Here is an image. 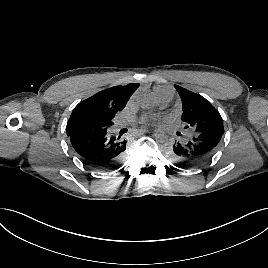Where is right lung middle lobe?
Returning <instances> with one entry per match:
<instances>
[{
	"label": "right lung middle lobe",
	"instance_id": "obj_1",
	"mask_svg": "<svg viewBox=\"0 0 268 268\" xmlns=\"http://www.w3.org/2000/svg\"><path fill=\"white\" fill-rule=\"evenodd\" d=\"M113 125L112 118L90 114L70 116L67 123V135L88 134L94 135L106 132Z\"/></svg>",
	"mask_w": 268,
	"mask_h": 268
}]
</instances>
